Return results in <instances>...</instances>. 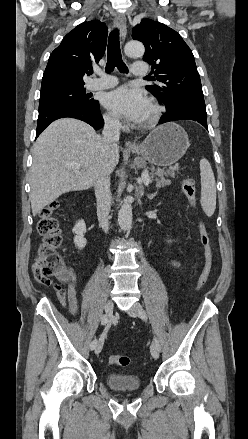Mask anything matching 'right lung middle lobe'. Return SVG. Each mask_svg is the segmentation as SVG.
I'll return each instance as SVG.
<instances>
[{
  "label": "right lung middle lobe",
  "mask_w": 248,
  "mask_h": 439,
  "mask_svg": "<svg viewBox=\"0 0 248 439\" xmlns=\"http://www.w3.org/2000/svg\"><path fill=\"white\" fill-rule=\"evenodd\" d=\"M95 102L96 100L92 99L90 94H86L82 86L40 96L39 113L62 105L79 103L91 105Z\"/></svg>",
  "instance_id": "right-lung-middle-lobe-1"
}]
</instances>
